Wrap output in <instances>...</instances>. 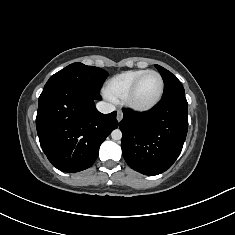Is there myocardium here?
I'll return each instance as SVG.
<instances>
[{
    "instance_id": "obj_1",
    "label": "myocardium",
    "mask_w": 235,
    "mask_h": 235,
    "mask_svg": "<svg viewBox=\"0 0 235 235\" xmlns=\"http://www.w3.org/2000/svg\"><path fill=\"white\" fill-rule=\"evenodd\" d=\"M150 73L157 75V77L159 78V81H160L159 93H158L157 97L155 98V100H153L151 103L144 104V105L136 104L133 101V97L136 92V89H137L139 83L141 82V80L146 75H148ZM164 89H165V85H164V80H163L161 74L155 70H146L139 77H137L135 79V81L132 83V85L130 86L129 90L127 91V93L125 94V96L123 98V103L128 109H130L131 111H134V112L143 113V112L150 111L151 109L156 107L159 104V102L161 101L163 94H164Z\"/></svg>"
}]
</instances>
